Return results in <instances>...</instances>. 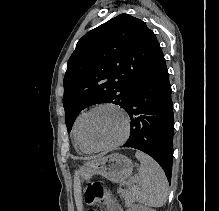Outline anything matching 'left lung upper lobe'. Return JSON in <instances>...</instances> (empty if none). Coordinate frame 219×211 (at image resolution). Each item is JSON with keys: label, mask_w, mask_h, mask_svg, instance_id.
<instances>
[{"label": "left lung upper lobe", "mask_w": 219, "mask_h": 211, "mask_svg": "<svg viewBox=\"0 0 219 211\" xmlns=\"http://www.w3.org/2000/svg\"><path fill=\"white\" fill-rule=\"evenodd\" d=\"M162 58L153 31L128 14L84 35L69 58L63 81L68 132L90 105L113 103L125 108L134 87Z\"/></svg>", "instance_id": "left-lung-upper-lobe-1"}]
</instances>
